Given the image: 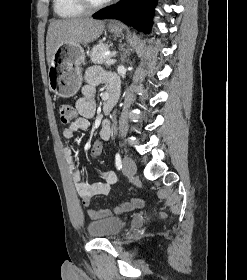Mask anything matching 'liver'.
Masks as SVG:
<instances>
[{"instance_id":"1","label":"liver","mask_w":247,"mask_h":280,"mask_svg":"<svg viewBox=\"0 0 247 280\" xmlns=\"http://www.w3.org/2000/svg\"><path fill=\"white\" fill-rule=\"evenodd\" d=\"M105 22L92 18L54 20L50 23L46 37L47 63L50 65L55 50L63 43L87 44L103 33Z\"/></svg>"}]
</instances>
